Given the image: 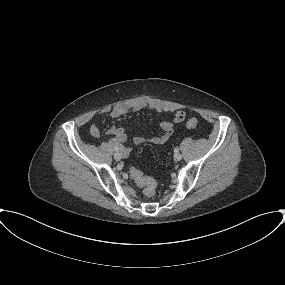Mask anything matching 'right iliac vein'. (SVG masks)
<instances>
[{
    "instance_id": "1",
    "label": "right iliac vein",
    "mask_w": 285,
    "mask_h": 285,
    "mask_svg": "<svg viewBox=\"0 0 285 285\" xmlns=\"http://www.w3.org/2000/svg\"><path fill=\"white\" fill-rule=\"evenodd\" d=\"M128 156V154L127 153H125V152H116L115 154H114V159L115 160H117V161H119L122 157L123 158H125V157H127Z\"/></svg>"
}]
</instances>
